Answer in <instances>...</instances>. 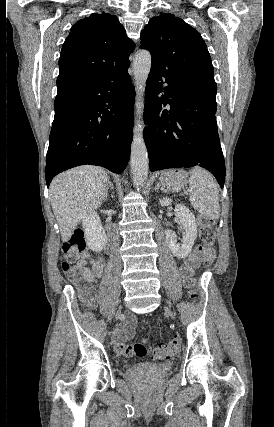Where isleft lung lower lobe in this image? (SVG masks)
I'll list each match as a JSON object with an SVG mask.
<instances>
[{
	"label": "left lung lower lobe",
	"mask_w": 274,
	"mask_h": 427,
	"mask_svg": "<svg viewBox=\"0 0 274 427\" xmlns=\"http://www.w3.org/2000/svg\"><path fill=\"white\" fill-rule=\"evenodd\" d=\"M144 140L150 170L201 166L221 188L225 162L216 123V89L152 64L145 91ZM169 104L170 109H164Z\"/></svg>",
	"instance_id": "0a47b994"
}]
</instances>
